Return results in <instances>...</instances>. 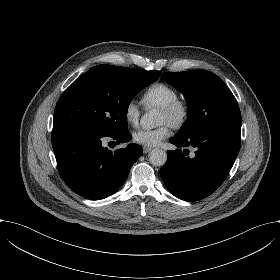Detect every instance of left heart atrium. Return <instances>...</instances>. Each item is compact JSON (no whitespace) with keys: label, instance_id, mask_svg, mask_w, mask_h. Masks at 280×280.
<instances>
[{"label":"left heart atrium","instance_id":"left-heart-atrium-1","mask_svg":"<svg viewBox=\"0 0 280 280\" xmlns=\"http://www.w3.org/2000/svg\"><path fill=\"white\" fill-rule=\"evenodd\" d=\"M172 125L169 122H163L155 128H137L132 133L134 143L149 147H155L160 142L169 137Z\"/></svg>","mask_w":280,"mask_h":280}]
</instances>
